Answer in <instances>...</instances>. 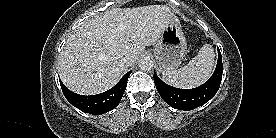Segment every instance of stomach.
Wrapping results in <instances>:
<instances>
[{
  "label": "stomach",
  "instance_id": "1",
  "mask_svg": "<svg viewBox=\"0 0 276 138\" xmlns=\"http://www.w3.org/2000/svg\"><path fill=\"white\" fill-rule=\"evenodd\" d=\"M187 51V41L176 15L172 13L167 27L161 34L154 49L155 58L163 72L176 70Z\"/></svg>",
  "mask_w": 276,
  "mask_h": 138
}]
</instances>
